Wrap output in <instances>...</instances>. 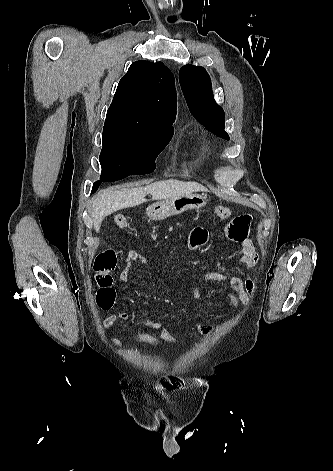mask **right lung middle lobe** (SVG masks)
<instances>
[{
  "instance_id": "right-lung-middle-lobe-1",
  "label": "right lung middle lobe",
  "mask_w": 333,
  "mask_h": 471,
  "mask_svg": "<svg viewBox=\"0 0 333 471\" xmlns=\"http://www.w3.org/2000/svg\"><path fill=\"white\" fill-rule=\"evenodd\" d=\"M173 130L151 124L105 121L100 154V181H117L128 175L148 174L169 143Z\"/></svg>"
}]
</instances>
